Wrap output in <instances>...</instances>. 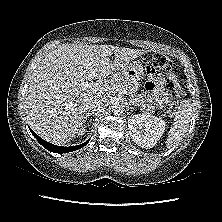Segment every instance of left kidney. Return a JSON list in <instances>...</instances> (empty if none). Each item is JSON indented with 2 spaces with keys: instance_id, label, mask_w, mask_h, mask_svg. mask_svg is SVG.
I'll return each instance as SVG.
<instances>
[{
  "instance_id": "left-kidney-1",
  "label": "left kidney",
  "mask_w": 222,
  "mask_h": 222,
  "mask_svg": "<svg viewBox=\"0 0 222 222\" xmlns=\"http://www.w3.org/2000/svg\"><path fill=\"white\" fill-rule=\"evenodd\" d=\"M165 126L162 118L150 114H135L128 119L130 136L142 148H152L162 137Z\"/></svg>"
}]
</instances>
